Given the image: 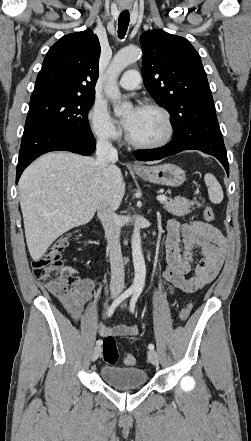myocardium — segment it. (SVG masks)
I'll use <instances>...</instances> for the list:
<instances>
[{
  "mask_svg": "<svg viewBox=\"0 0 251 441\" xmlns=\"http://www.w3.org/2000/svg\"><path fill=\"white\" fill-rule=\"evenodd\" d=\"M142 108L158 111L163 116L165 124H166V133H165L164 137L158 141L139 142L131 136L129 131H127V133H126L127 141L132 146L139 148V149H157V148H161V147L167 145L171 141V139L174 135V124H173L172 117H171V114L169 113V111L165 107H163L157 103H146L142 106Z\"/></svg>",
  "mask_w": 251,
  "mask_h": 441,
  "instance_id": "1",
  "label": "myocardium"
}]
</instances>
